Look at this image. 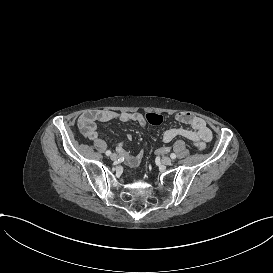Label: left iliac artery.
<instances>
[{
    "label": "left iliac artery",
    "instance_id": "left-iliac-artery-1",
    "mask_svg": "<svg viewBox=\"0 0 273 273\" xmlns=\"http://www.w3.org/2000/svg\"><path fill=\"white\" fill-rule=\"evenodd\" d=\"M170 157H171L172 159H175V158H176V154L171 153Z\"/></svg>",
    "mask_w": 273,
    "mask_h": 273
}]
</instances>
